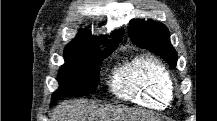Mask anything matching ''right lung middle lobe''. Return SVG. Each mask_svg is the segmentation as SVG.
<instances>
[{
  "label": "right lung middle lobe",
  "instance_id": "1",
  "mask_svg": "<svg viewBox=\"0 0 217 121\" xmlns=\"http://www.w3.org/2000/svg\"><path fill=\"white\" fill-rule=\"evenodd\" d=\"M112 51L104 52L96 45L66 47L65 63L59 69V89L52 94L51 105L61 97L85 96L96 90L100 62Z\"/></svg>",
  "mask_w": 217,
  "mask_h": 121
}]
</instances>
